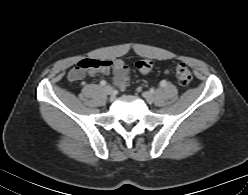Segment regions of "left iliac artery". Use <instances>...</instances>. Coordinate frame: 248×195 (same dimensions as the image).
I'll use <instances>...</instances> for the list:
<instances>
[{
    "label": "left iliac artery",
    "instance_id": "obj_1",
    "mask_svg": "<svg viewBox=\"0 0 248 195\" xmlns=\"http://www.w3.org/2000/svg\"><path fill=\"white\" fill-rule=\"evenodd\" d=\"M166 84H167V82H166L165 80H162V81L160 82V86H161V87L166 86Z\"/></svg>",
    "mask_w": 248,
    "mask_h": 195
}]
</instances>
